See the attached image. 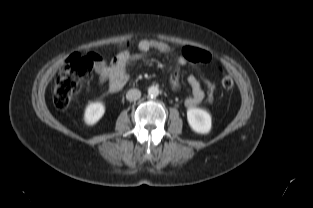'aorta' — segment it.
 I'll return each instance as SVG.
<instances>
[{
  "label": "aorta",
  "mask_w": 313,
  "mask_h": 208,
  "mask_svg": "<svg viewBox=\"0 0 313 208\" xmlns=\"http://www.w3.org/2000/svg\"><path fill=\"white\" fill-rule=\"evenodd\" d=\"M148 95L151 97H156L159 95V89L157 86H151L148 88Z\"/></svg>",
  "instance_id": "1"
}]
</instances>
